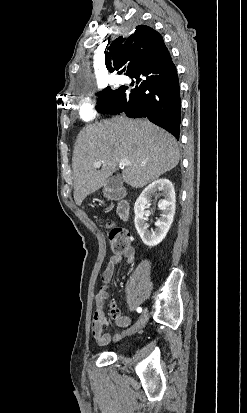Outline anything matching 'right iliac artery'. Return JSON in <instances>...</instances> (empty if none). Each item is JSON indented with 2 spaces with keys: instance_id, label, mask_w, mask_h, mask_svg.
<instances>
[{
  "instance_id": "82829eb1",
  "label": "right iliac artery",
  "mask_w": 247,
  "mask_h": 413,
  "mask_svg": "<svg viewBox=\"0 0 247 413\" xmlns=\"http://www.w3.org/2000/svg\"><path fill=\"white\" fill-rule=\"evenodd\" d=\"M137 312H138V313H141V312H142V308H141V307H138V308H137Z\"/></svg>"
}]
</instances>
